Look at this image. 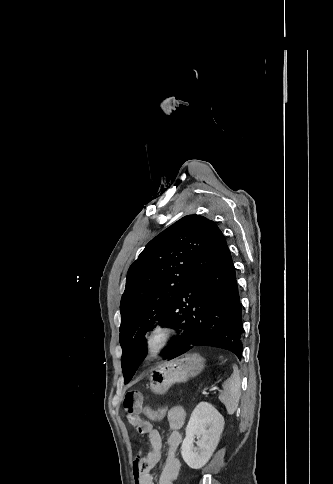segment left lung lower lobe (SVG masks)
<instances>
[{"mask_svg":"<svg viewBox=\"0 0 333 484\" xmlns=\"http://www.w3.org/2000/svg\"><path fill=\"white\" fill-rule=\"evenodd\" d=\"M161 324L178 329L165 360L194 346H212L242 357V306L226 240L213 222L191 258Z\"/></svg>","mask_w":333,"mask_h":484,"instance_id":"0a47b994","label":"left lung lower lobe"}]
</instances>
